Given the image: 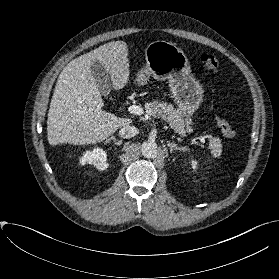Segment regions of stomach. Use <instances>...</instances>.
Here are the masks:
<instances>
[{"instance_id": "1", "label": "stomach", "mask_w": 279, "mask_h": 279, "mask_svg": "<svg viewBox=\"0 0 279 279\" xmlns=\"http://www.w3.org/2000/svg\"><path fill=\"white\" fill-rule=\"evenodd\" d=\"M146 66L137 74L139 84L149 76L168 80L169 88L177 106L188 121L203 101V87L195 78L187 56L176 45L166 41H154L145 49Z\"/></svg>"}]
</instances>
